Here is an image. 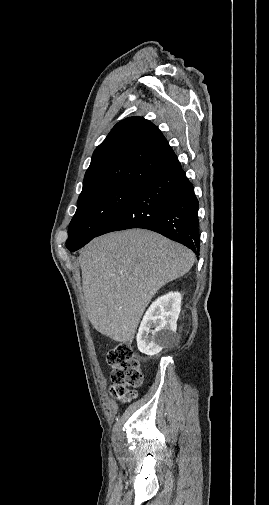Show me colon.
<instances>
[{
  "label": "colon",
  "mask_w": 269,
  "mask_h": 505,
  "mask_svg": "<svg viewBox=\"0 0 269 505\" xmlns=\"http://www.w3.org/2000/svg\"><path fill=\"white\" fill-rule=\"evenodd\" d=\"M106 360L111 368V393L123 402L131 401L136 395L130 388L139 386L143 378L140 361L131 345L116 344L107 352Z\"/></svg>",
  "instance_id": "5ec220e1"
}]
</instances>
